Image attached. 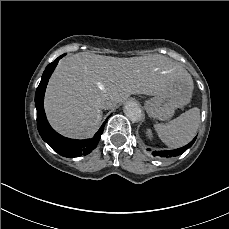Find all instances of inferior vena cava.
Here are the masks:
<instances>
[{"label": "inferior vena cava", "instance_id": "obj_1", "mask_svg": "<svg viewBox=\"0 0 229 229\" xmlns=\"http://www.w3.org/2000/svg\"><path fill=\"white\" fill-rule=\"evenodd\" d=\"M103 109H109L107 103L102 105Z\"/></svg>", "mask_w": 229, "mask_h": 229}]
</instances>
